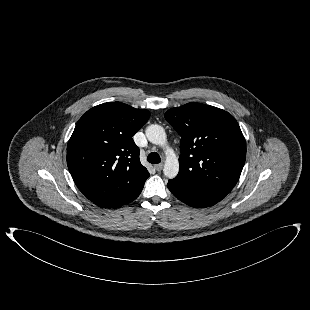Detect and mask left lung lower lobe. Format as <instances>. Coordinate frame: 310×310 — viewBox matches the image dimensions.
<instances>
[{
	"label": "left lung lower lobe",
	"instance_id": "obj_1",
	"mask_svg": "<svg viewBox=\"0 0 310 310\" xmlns=\"http://www.w3.org/2000/svg\"><path fill=\"white\" fill-rule=\"evenodd\" d=\"M168 188L180 201L196 208H204L215 205L223 198V196L189 188L173 179L169 180Z\"/></svg>",
	"mask_w": 310,
	"mask_h": 310
}]
</instances>
